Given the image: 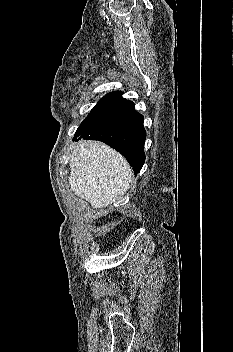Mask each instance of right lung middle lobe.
<instances>
[{
	"mask_svg": "<svg viewBox=\"0 0 233 352\" xmlns=\"http://www.w3.org/2000/svg\"><path fill=\"white\" fill-rule=\"evenodd\" d=\"M125 99L122 97L121 91H114L106 94L91 110L90 114L82 121L81 125L79 126L78 130L92 122L98 116L109 110L110 108L118 105L119 103L123 102ZM77 130V131H78Z\"/></svg>",
	"mask_w": 233,
	"mask_h": 352,
	"instance_id": "dd1d6c3e",
	"label": "right lung middle lobe"
}]
</instances>
